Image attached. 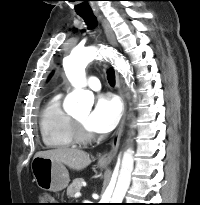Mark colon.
Segmentation results:
<instances>
[{
	"mask_svg": "<svg viewBox=\"0 0 200 205\" xmlns=\"http://www.w3.org/2000/svg\"><path fill=\"white\" fill-rule=\"evenodd\" d=\"M38 205H54L52 196L46 192L41 193L39 195Z\"/></svg>",
	"mask_w": 200,
	"mask_h": 205,
	"instance_id": "1",
	"label": "colon"
}]
</instances>
